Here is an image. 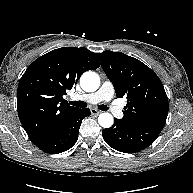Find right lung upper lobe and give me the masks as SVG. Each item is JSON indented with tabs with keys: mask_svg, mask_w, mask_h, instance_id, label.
<instances>
[{
	"mask_svg": "<svg viewBox=\"0 0 193 193\" xmlns=\"http://www.w3.org/2000/svg\"><path fill=\"white\" fill-rule=\"evenodd\" d=\"M100 66L86 48H58L36 59L21 77L17 90L20 122L36 145L79 111L63 98L80 76Z\"/></svg>",
	"mask_w": 193,
	"mask_h": 193,
	"instance_id": "cb5924a9",
	"label": "right lung upper lobe"
}]
</instances>
